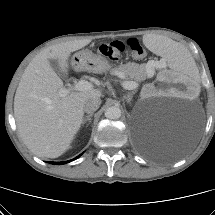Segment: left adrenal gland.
I'll return each instance as SVG.
<instances>
[{
	"label": "left adrenal gland",
	"mask_w": 215,
	"mask_h": 215,
	"mask_svg": "<svg viewBox=\"0 0 215 215\" xmlns=\"http://www.w3.org/2000/svg\"><path fill=\"white\" fill-rule=\"evenodd\" d=\"M136 92L132 91L131 93H128L127 96H124V99L126 100L127 103H131V100L133 98V95L135 94Z\"/></svg>",
	"instance_id": "1"
}]
</instances>
